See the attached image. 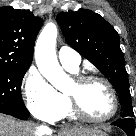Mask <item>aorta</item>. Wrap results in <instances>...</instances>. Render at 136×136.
Wrapping results in <instances>:
<instances>
[{
  "instance_id": "762f6f07",
  "label": "aorta",
  "mask_w": 136,
  "mask_h": 136,
  "mask_svg": "<svg viewBox=\"0 0 136 136\" xmlns=\"http://www.w3.org/2000/svg\"><path fill=\"white\" fill-rule=\"evenodd\" d=\"M57 27L47 23L35 46V60L40 73L56 89L63 91L69 76L61 68L56 56Z\"/></svg>"
}]
</instances>
